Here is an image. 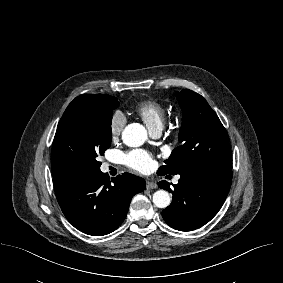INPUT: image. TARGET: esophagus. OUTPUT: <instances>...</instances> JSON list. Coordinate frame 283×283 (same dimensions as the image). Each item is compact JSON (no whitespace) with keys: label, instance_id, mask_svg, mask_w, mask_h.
Returning <instances> with one entry per match:
<instances>
[{"label":"esophagus","instance_id":"34e87169","mask_svg":"<svg viewBox=\"0 0 283 283\" xmlns=\"http://www.w3.org/2000/svg\"><path fill=\"white\" fill-rule=\"evenodd\" d=\"M146 188L147 189H156L157 188V184L153 181H146Z\"/></svg>","mask_w":283,"mask_h":283}]
</instances>
